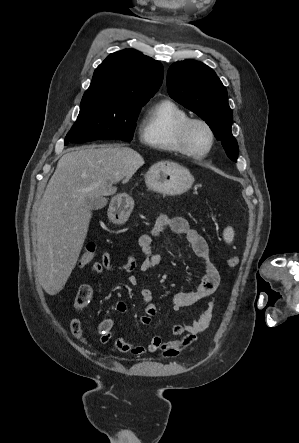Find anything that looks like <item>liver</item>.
I'll list each match as a JSON object with an SVG mask.
<instances>
[{"mask_svg": "<svg viewBox=\"0 0 299 443\" xmlns=\"http://www.w3.org/2000/svg\"><path fill=\"white\" fill-rule=\"evenodd\" d=\"M143 164L138 152L121 145L81 147L60 158L36 221V273L49 295L63 289L79 258L92 216L85 198L113 194L112 185Z\"/></svg>", "mask_w": 299, "mask_h": 443, "instance_id": "liver-1", "label": "liver"}]
</instances>
